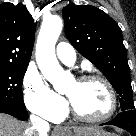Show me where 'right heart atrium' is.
Instances as JSON below:
<instances>
[{"mask_svg":"<svg viewBox=\"0 0 136 136\" xmlns=\"http://www.w3.org/2000/svg\"><path fill=\"white\" fill-rule=\"evenodd\" d=\"M23 99L32 113L47 120L59 119L65 110L63 99L50 89L37 71L32 69L27 70L24 75Z\"/></svg>","mask_w":136,"mask_h":136,"instance_id":"1","label":"right heart atrium"}]
</instances>
